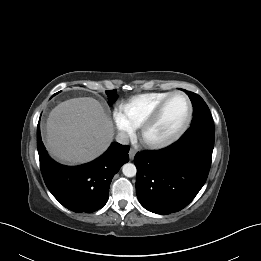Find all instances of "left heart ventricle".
<instances>
[{
	"label": "left heart ventricle",
	"instance_id": "obj_1",
	"mask_svg": "<svg viewBox=\"0 0 261 261\" xmlns=\"http://www.w3.org/2000/svg\"><path fill=\"white\" fill-rule=\"evenodd\" d=\"M188 107L186 100L182 96L172 97L166 104L159 119L149 130L148 137L160 139L172 135L185 122Z\"/></svg>",
	"mask_w": 261,
	"mask_h": 261
}]
</instances>
